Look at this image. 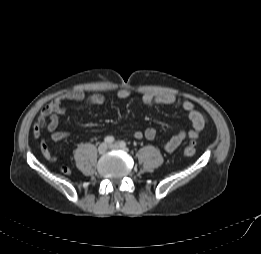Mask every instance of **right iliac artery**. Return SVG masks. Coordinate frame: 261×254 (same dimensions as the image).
I'll return each instance as SVG.
<instances>
[{
	"mask_svg": "<svg viewBox=\"0 0 261 254\" xmlns=\"http://www.w3.org/2000/svg\"><path fill=\"white\" fill-rule=\"evenodd\" d=\"M105 143L107 144H111L114 142V137L113 136H107L105 139H104Z\"/></svg>",
	"mask_w": 261,
	"mask_h": 254,
	"instance_id": "obj_1",
	"label": "right iliac artery"
}]
</instances>
